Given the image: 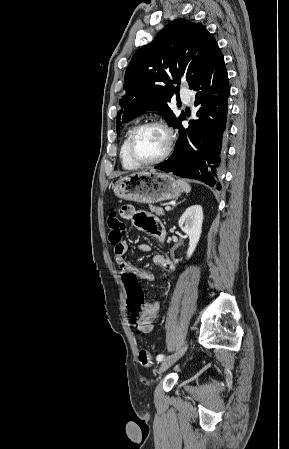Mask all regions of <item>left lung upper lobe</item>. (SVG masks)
Masks as SVG:
<instances>
[{"label": "left lung upper lobe", "mask_w": 289, "mask_h": 449, "mask_svg": "<svg viewBox=\"0 0 289 449\" xmlns=\"http://www.w3.org/2000/svg\"><path fill=\"white\" fill-rule=\"evenodd\" d=\"M217 47L216 40L202 24L178 19L163 28L150 44L136 52L126 70V93L120 100L117 134L122 122L146 110L161 112L174 128L183 114L176 117L170 108L176 93L173 83L179 84L183 77L190 86Z\"/></svg>", "instance_id": "left-lung-upper-lobe-1"}]
</instances>
